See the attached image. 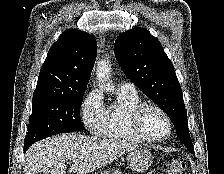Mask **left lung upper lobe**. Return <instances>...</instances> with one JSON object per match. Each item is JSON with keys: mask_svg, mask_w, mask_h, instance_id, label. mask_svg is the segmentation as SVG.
Masks as SVG:
<instances>
[{"mask_svg": "<svg viewBox=\"0 0 224 174\" xmlns=\"http://www.w3.org/2000/svg\"><path fill=\"white\" fill-rule=\"evenodd\" d=\"M114 51L124 73L169 116L180 141L194 153L182 90L158 40L146 29L135 28L116 39Z\"/></svg>", "mask_w": 224, "mask_h": 174, "instance_id": "5c2ea615", "label": "left lung upper lobe"}]
</instances>
